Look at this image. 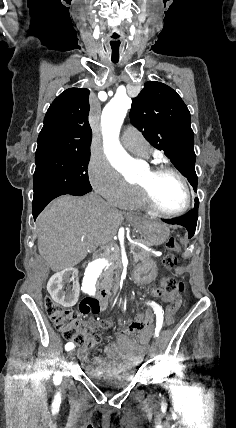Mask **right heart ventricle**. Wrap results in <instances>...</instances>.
<instances>
[{
  "instance_id": "right-heart-ventricle-1",
  "label": "right heart ventricle",
  "mask_w": 236,
  "mask_h": 428,
  "mask_svg": "<svg viewBox=\"0 0 236 428\" xmlns=\"http://www.w3.org/2000/svg\"><path fill=\"white\" fill-rule=\"evenodd\" d=\"M126 208L132 209H150L142 200L139 190L133 188L132 196L124 205Z\"/></svg>"
}]
</instances>
